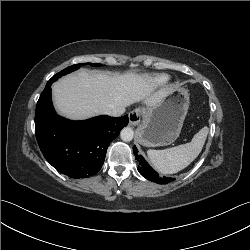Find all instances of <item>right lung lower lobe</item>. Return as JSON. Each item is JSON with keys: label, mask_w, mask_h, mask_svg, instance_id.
I'll use <instances>...</instances> for the list:
<instances>
[{"label": "right lung lower lobe", "mask_w": 250, "mask_h": 250, "mask_svg": "<svg viewBox=\"0 0 250 250\" xmlns=\"http://www.w3.org/2000/svg\"><path fill=\"white\" fill-rule=\"evenodd\" d=\"M51 79L36 106L35 132L41 152L59 172L71 178H87L102 167L107 147L127 126L128 116H98L70 121L58 116L51 101Z\"/></svg>", "instance_id": "98d812e1"}]
</instances>
